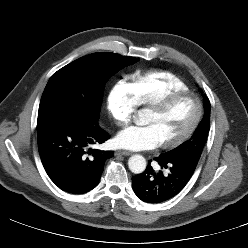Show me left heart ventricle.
I'll return each mask as SVG.
<instances>
[{
    "label": "left heart ventricle",
    "mask_w": 248,
    "mask_h": 248,
    "mask_svg": "<svg viewBox=\"0 0 248 248\" xmlns=\"http://www.w3.org/2000/svg\"><path fill=\"white\" fill-rule=\"evenodd\" d=\"M196 113L193 98L185 97L175 101L166 110H147L144 124L152 125L161 142L179 137L191 124Z\"/></svg>",
    "instance_id": "left-heart-ventricle-1"
}]
</instances>
